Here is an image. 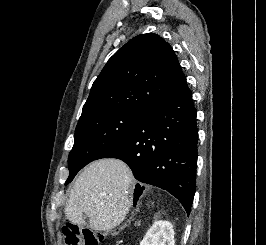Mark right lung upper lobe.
Returning <instances> with one entry per match:
<instances>
[{"mask_svg":"<svg viewBox=\"0 0 266 245\" xmlns=\"http://www.w3.org/2000/svg\"><path fill=\"white\" fill-rule=\"evenodd\" d=\"M185 85L170 44L157 34H141L109 59L92 85L81 117L106 109L146 112Z\"/></svg>","mask_w":266,"mask_h":245,"instance_id":"obj_1","label":"right lung upper lobe"}]
</instances>
